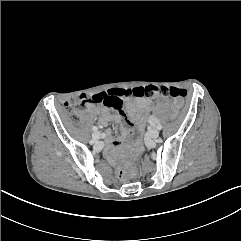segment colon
<instances>
[{"instance_id": "colon-1", "label": "colon", "mask_w": 241, "mask_h": 241, "mask_svg": "<svg viewBox=\"0 0 241 241\" xmlns=\"http://www.w3.org/2000/svg\"><path fill=\"white\" fill-rule=\"evenodd\" d=\"M146 97L154 99L157 97H171L175 100H181L186 96V92L179 88H167L157 86H147L140 88H108L100 91L98 94L86 95L81 94L65 103V113L71 119L77 118L82 110L87 106L92 105H107L114 109L121 110V102L126 97ZM181 112L179 105L172 107L171 116L169 117V123L175 124L178 114ZM122 176V172L121 175Z\"/></svg>"}]
</instances>
